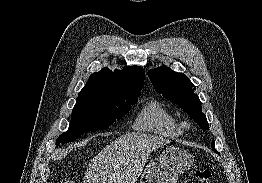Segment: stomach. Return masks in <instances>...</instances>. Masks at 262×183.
Here are the masks:
<instances>
[{
    "label": "stomach",
    "instance_id": "0dacf381",
    "mask_svg": "<svg viewBox=\"0 0 262 183\" xmlns=\"http://www.w3.org/2000/svg\"><path fill=\"white\" fill-rule=\"evenodd\" d=\"M194 158L187 151L169 146L143 171L139 183H177L178 177L193 165Z\"/></svg>",
    "mask_w": 262,
    "mask_h": 183
}]
</instances>
